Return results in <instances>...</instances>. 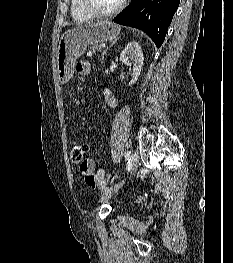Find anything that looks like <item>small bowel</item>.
<instances>
[{
  "instance_id": "c3829d8e",
  "label": "small bowel",
  "mask_w": 233,
  "mask_h": 263,
  "mask_svg": "<svg viewBox=\"0 0 233 263\" xmlns=\"http://www.w3.org/2000/svg\"><path fill=\"white\" fill-rule=\"evenodd\" d=\"M90 71H91V65L88 62L80 61L77 63L76 72L79 75L86 76L90 73ZM104 97L109 106L113 108H116L118 106V100L113 96V94L110 91L105 90ZM80 170L82 174L85 176L84 169L80 167ZM86 170L92 173L96 177V183L94 185L88 184L85 179L86 183L93 188H99V189L104 188L105 181L102 179V176L104 175L105 172L102 169H99L97 172H95V161L92 158L86 160Z\"/></svg>"
}]
</instances>
